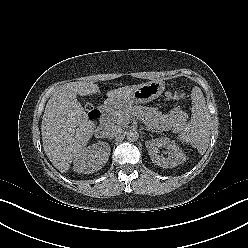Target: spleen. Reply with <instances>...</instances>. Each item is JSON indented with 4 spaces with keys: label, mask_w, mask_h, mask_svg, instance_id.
<instances>
[{
    "label": "spleen",
    "mask_w": 248,
    "mask_h": 248,
    "mask_svg": "<svg viewBox=\"0 0 248 248\" xmlns=\"http://www.w3.org/2000/svg\"><path fill=\"white\" fill-rule=\"evenodd\" d=\"M192 116L189 123L181 130L177 139L189 143L204 154L210 141L211 115L206 106L201 89L195 86L191 91Z\"/></svg>",
    "instance_id": "spleen-1"
}]
</instances>
